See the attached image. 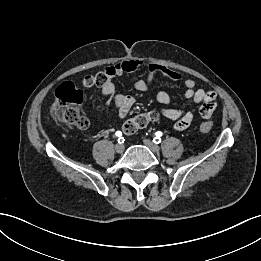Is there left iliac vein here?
Masks as SVG:
<instances>
[{
    "instance_id": "1",
    "label": "left iliac vein",
    "mask_w": 261,
    "mask_h": 261,
    "mask_svg": "<svg viewBox=\"0 0 261 261\" xmlns=\"http://www.w3.org/2000/svg\"><path fill=\"white\" fill-rule=\"evenodd\" d=\"M143 143L154 153L159 152L160 148L158 145H156L155 143H153L151 140L149 139H144Z\"/></svg>"
}]
</instances>
